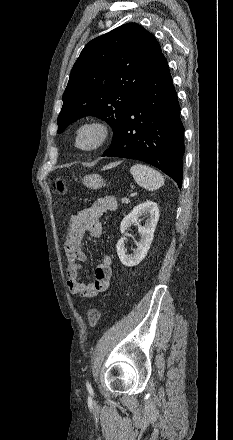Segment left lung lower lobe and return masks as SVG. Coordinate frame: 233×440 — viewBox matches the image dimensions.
Listing matches in <instances>:
<instances>
[{"instance_id": "obj_1", "label": "left lung lower lobe", "mask_w": 233, "mask_h": 440, "mask_svg": "<svg viewBox=\"0 0 233 440\" xmlns=\"http://www.w3.org/2000/svg\"><path fill=\"white\" fill-rule=\"evenodd\" d=\"M167 61L162 54L134 95L119 132L103 156L149 163L182 186L184 127Z\"/></svg>"}]
</instances>
